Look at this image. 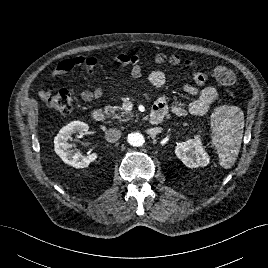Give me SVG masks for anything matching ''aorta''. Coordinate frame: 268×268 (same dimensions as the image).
I'll list each match as a JSON object with an SVG mask.
<instances>
[{
  "mask_svg": "<svg viewBox=\"0 0 268 268\" xmlns=\"http://www.w3.org/2000/svg\"><path fill=\"white\" fill-rule=\"evenodd\" d=\"M127 141L132 146H142L145 142L144 136L141 133H130L127 137Z\"/></svg>",
  "mask_w": 268,
  "mask_h": 268,
  "instance_id": "762f6f07",
  "label": "aorta"
}]
</instances>
